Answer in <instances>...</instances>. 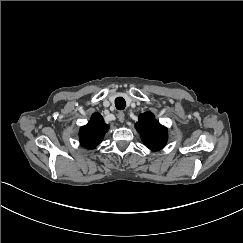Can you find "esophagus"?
I'll use <instances>...</instances> for the list:
<instances>
[{
	"label": "esophagus",
	"instance_id": "obj_1",
	"mask_svg": "<svg viewBox=\"0 0 243 243\" xmlns=\"http://www.w3.org/2000/svg\"><path fill=\"white\" fill-rule=\"evenodd\" d=\"M117 117H118V120H119L120 123H123L124 122L125 115H124L123 112H119L118 115H117Z\"/></svg>",
	"mask_w": 243,
	"mask_h": 243
}]
</instances>
